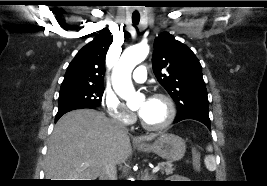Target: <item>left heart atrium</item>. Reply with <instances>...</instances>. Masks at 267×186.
<instances>
[{"instance_id": "39dd6f15", "label": "left heart atrium", "mask_w": 267, "mask_h": 186, "mask_svg": "<svg viewBox=\"0 0 267 186\" xmlns=\"http://www.w3.org/2000/svg\"><path fill=\"white\" fill-rule=\"evenodd\" d=\"M151 99H147L144 101L143 105L141 106V108L139 109V115L142 117L145 112H146V109H147V106L149 104Z\"/></svg>"}]
</instances>
